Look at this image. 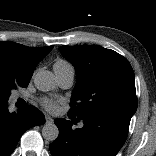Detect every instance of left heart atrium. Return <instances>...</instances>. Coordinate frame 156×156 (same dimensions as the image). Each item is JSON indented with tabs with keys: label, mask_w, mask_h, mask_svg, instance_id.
Instances as JSON below:
<instances>
[{
	"label": "left heart atrium",
	"mask_w": 156,
	"mask_h": 156,
	"mask_svg": "<svg viewBox=\"0 0 156 156\" xmlns=\"http://www.w3.org/2000/svg\"><path fill=\"white\" fill-rule=\"evenodd\" d=\"M41 105L48 111L54 112L57 110V102L53 99L42 98L40 100Z\"/></svg>",
	"instance_id": "obj_1"
}]
</instances>
